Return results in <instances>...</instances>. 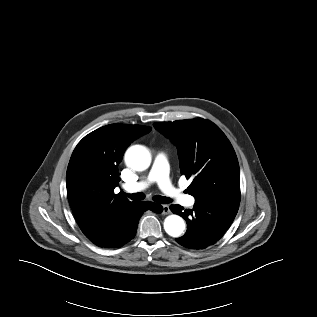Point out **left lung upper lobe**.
<instances>
[{
  "label": "left lung upper lobe",
  "mask_w": 317,
  "mask_h": 317,
  "mask_svg": "<svg viewBox=\"0 0 317 317\" xmlns=\"http://www.w3.org/2000/svg\"><path fill=\"white\" fill-rule=\"evenodd\" d=\"M153 125L176 145L181 174L193 179L188 192L195 200L239 205L238 160L218 126L202 118Z\"/></svg>",
  "instance_id": "5c2ea615"
}]
</instances>
